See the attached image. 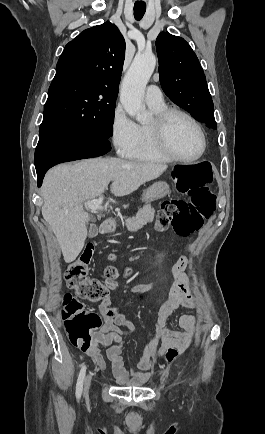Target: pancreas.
<instances>
[{"label":"pancreas","instance_id":"pancreas-1","mask_svg":"<svg viewBox=\"0 0 265 434\" xmlns=\"http://www.w3.org/2000/svg\"><path fill=\"white\" fill-rule=\"evenodd\" d=\"M155 218V210L148 204V206H143L138 210L135 218H131L129 222H123V226H126L128 232H137L142 226L148 224V222H153Z\"/></svg>","mask_w":265,"mask_h":434}]
</instances>
